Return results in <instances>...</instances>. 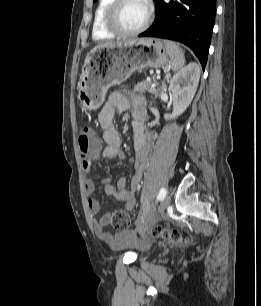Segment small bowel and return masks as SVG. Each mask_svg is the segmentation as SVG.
<instances>
[{"label": "small bowel", "instance_id": "1", "mask_svg": "<svg viewBox=\"0 0 261 306\" xmlns=\"http://www.w3.org/2000/svg\"><path fill=\"white\" fill-rule=\"evenodd\" d=\"M133 106V132L135 147V173L130 180V186L127 187V181L124 177L117 180L113 185L110 178L101 180V186L108 195L114 196L117 200L123 202L126 210L134 209L136 205L135 191L140 186L142 171L146 166V157L149 152L147 145V135L144 132L143 121L146 117L144 99L140 96H134L132 102L121 92H113L108 97L107 102L99 113V124L103 130V140L105 147L101 151V157L104 159L124 160L125 153L121 148V136L114 126V119L117 113H123ZM93 160L83 161V168L88 175L85 180V192L88 196L87 205L90 215L93 218V228L97 236L105 243L115 247L123 248L131 244L135 236L131 232H120L115 235L106 232L105 227L110 223L111 213H105L96 218L100 212V204L93 197L95 191V182L91 178Z\"/></svg>", "mask_w": 261, "mask_h": 306}]
</instances>
